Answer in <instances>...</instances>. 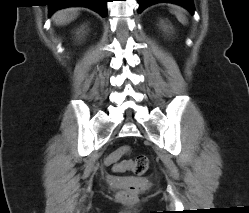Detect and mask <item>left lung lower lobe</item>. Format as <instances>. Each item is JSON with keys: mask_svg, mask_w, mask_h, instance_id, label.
<instances>
[{"mask_svg": "<svg viewBox=\"0 0 249 213\" xmlns=\"http://www.w3.org/2000/svg\"><path fill=\"white\" fill-rule=\"evenodd\" d=\"M159 2L176 3V4H179L181 6L186 7L191 12H193V10H194L192 0H138V3H139L138 13H141L142 10L145 9L146 7H148L154 3H159Z\"/></svg>", "mask_w": 249, "mask_h": 213, "instance_id": "obj_1", "label": "left lung lower lobe"}]
</instances>
